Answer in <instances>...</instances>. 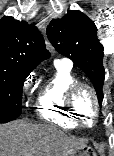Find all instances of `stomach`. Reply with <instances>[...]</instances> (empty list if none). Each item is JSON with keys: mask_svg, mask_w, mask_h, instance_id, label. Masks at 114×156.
<instances>
[{"mask_svg": "<svg viewBox=\"0 0 114 156\" xmlns=\"http://www.w3.org/2000/svg\"><path fill=\"white\" fill-rule=\"evenodd\" d=\"M68 156H97V155L93 147L88 142H86L82 147L71 152Z\"/></svg>", "mask_w": 114, "mask_h": 156, "instance_id": "obj_1", "label": "stomach"}]
</instances>
